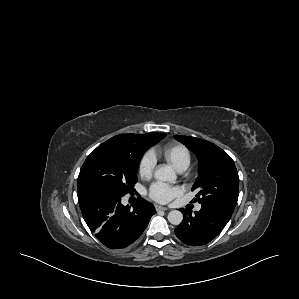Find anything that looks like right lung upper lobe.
<instances>
[{
  "label": "right lung upper lobe",
  "mask_w": 299,
  "mask_h": 299,
  "mask_svg": "<svg viewBox=\"0 0 299 299\" xmlns=\"http://www.w3.org/2000/svg\"><path fill=\"white\" fill-rule=\"evenodd\" d=\"M149 134V133H148ZM147 134H121L109 139L110 142L117 145L121 150L129 153L136 152L142 144L143 138Z\"/></svg>",
  "instance_id": "right-lung-upper-lobe-1"
}]
</instances>
